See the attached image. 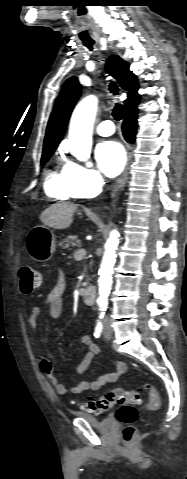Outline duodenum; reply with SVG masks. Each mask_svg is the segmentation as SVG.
<instances>
[{"label":"duodenum","instance_id":"410a0bca","mask_svg":"<svg viewBox=\"0 0 187 479\" xmlns=\"http://www.w3.org/2000/svg\"><path fill=\"white\" fill-rule=\"evenodd\" d=\"M96 295H97V290L93 286H86L81 292V297L83 302L88 305H91L94 303Z\"/></svg>","mask_w":187,"mask_h":479}]
</instances>
